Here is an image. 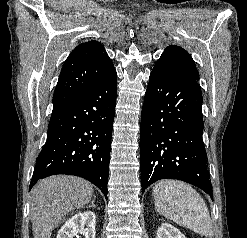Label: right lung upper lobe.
<instances>
[{
    "label": "right lung upper lobe",
    "mask_w": 247,
    "mask_h": 238,
    "mask_svg": "<svg viewBox=\"0 0 247 238\" xmlns=\"http://www.w3.org/2000/svg\"><path fill=\"white\" fill-rule=\"evenodd\" d=\"M113 71V63L101 43L92 40L79 44L62 67L53 110L85 93Z\"/></svg>",
    "instance_id": "right-lung-upper-lobe-1"
}]
</instances>
